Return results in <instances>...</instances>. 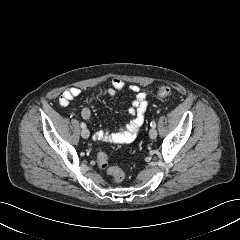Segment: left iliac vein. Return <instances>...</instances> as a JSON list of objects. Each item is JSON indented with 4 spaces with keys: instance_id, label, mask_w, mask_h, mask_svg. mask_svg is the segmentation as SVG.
<instances>
[{
    "instance_id": "1",
    "label": "left iliac vein",
    "mask_w": 240,
    "mask_h": 240,
    "mask_svg": "<svg viewBox=\"0 0 240 240\" xmlns=\"http://www.w3.org/2000/svg\"><path fill=\"white\" fill-rule=\"evenodd\" d=\"M149 136L151 139H155L157 137V131L154 128H151L149 131Z\"/></svg>"
}]
</instances>
